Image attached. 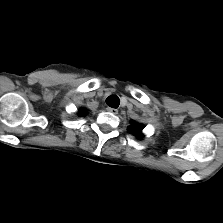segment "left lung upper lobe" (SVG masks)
Instances as JSON below:
<instances>
[{
    "label": "left lung upper lobe",
    "instance_id": "obj_1",
    "mask_svg": "<svg viewBox=\"0 0 223 223\" xmlns=\"http://www.w3.org/2000/svg\"><path fill=\"white\" fill-rule=\"evenodd\" d=\"M142 129H143V125L139 123H135L134 121H132V124L128 127L129 133L136 134V135H140Z\"/></svg>",
    "mask_w": 223,
    "mask_h": 223
}]
</instances>
